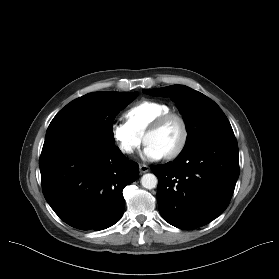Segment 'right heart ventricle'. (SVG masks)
Listing matches in <instances>:
<instances>
[{"mask_svg":"<svg viewBox=\"0 0 279 279\" xmlns=\"http://www.w3.org/2000/svg\"><path fill=\"white\" fill-rule=\"evenodd\" d=\"M170 110V107L163 102L141 100L126 111L125 118L131 128L138 135H142L157 117Z\"/></svg>","mask_w":279,"mask_h":279,"instance_id":"e07e8e85","label":"right heart ventricle"}]
</instances>
